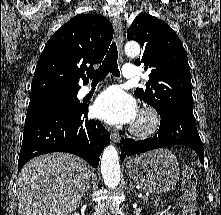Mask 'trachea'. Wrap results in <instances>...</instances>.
Here are the masks:
<instances>
[{"mask_svg": "<svg viewBox=\"0 0 221 215\" xmlns=\"http://www.w3.org/2000/svg\"><path fill=\"white\" fill-rule=\"evenodd\" d=\"M118 50L116 43L113 42L110 46V49L102 62V65L96 71L87 72V77L92 79L93 83H98L102 81L108 72H111L114 76L119 77L120 72L118 69Z\"/></svg>", "mask_w": 221, "mask_h": 215, "instance_id": "3493384b", "label": "trachea"}]
</instances>
